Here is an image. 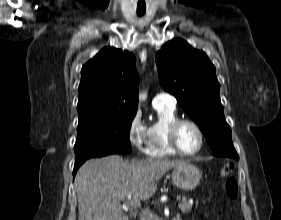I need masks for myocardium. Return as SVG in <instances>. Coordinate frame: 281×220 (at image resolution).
<instances>
[{
    "mask_svg": "<svg viewBox=\"0 0 281 220\" xmlns=\"http://www.w3.org/2000/svg\"><path fill=\"white\" fill-rule=\"evenodd\" d=\"M183 124H189V125L193 126L196 129V131L198 132L199 140H200L199 146L193 152H186V151L182 150L179 145L178 130ZM167 137H168L169 145L172 147V149L176 153H178L182 156H194L201 151V149L203 148V145H204V133H203L202 128L196 121L189 119V118H177L176 120H174L168 127Z\"/></svg>",
    "mask_w": 281,
    "mask_h": 220,
    "instance_id": "f54148a6",
    "label": "myocardium"
}]
</instances>
